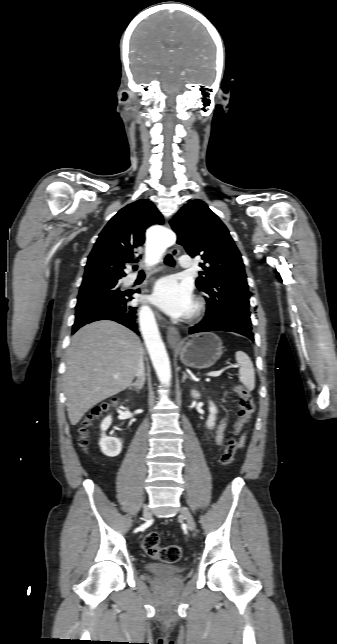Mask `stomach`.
<instances>
[{
    "label": "stomach",
    "instance_id": "1",
    "mask_svg": "<svg viewBox=\"0 0 337 644\" xmlns=\"http://www.w3.org/2000/svg\"><path fill=\"white\" fill-rule=\"evenodd\" d=\"M181 362L192 368L207 369L213 366L223 354L221 339L213 333L192 336L186 343L175 347Z\"/></svg>",
    "mask_w": 337,
    "mask_h": 644
}]
</instances>
